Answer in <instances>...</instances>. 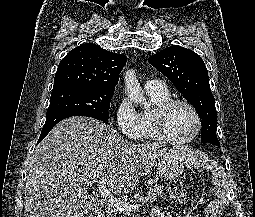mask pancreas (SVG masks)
<instances>
[{"mask_svg": "<svg viewBox=\"0 0 255 217\" xmlns=\"http://www.w3.org/2000/svg\"><path fill=\"white\" fill-rule=\"evenodd\" d=\"M162 193V187L160 185H154L149 188L147 192V198L150 203L157 200L158 196ZM107 217H124L114 206H109L106 210Z\"/></svg>", "mask_w": 255, "mask_h": 217, "instance_id": "pancreas-1", "label": "pancreas"}]
</instances>
